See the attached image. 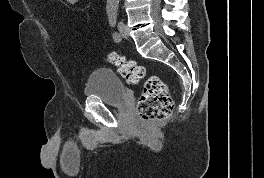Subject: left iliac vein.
I'll use <instances>...</instances> for the list:
<instances>
[{"mask_svg":"<svg viewBox=\"0 0 264 178\" xmlns=\"http://www.w3.org/2000/svg\"><path fill=\"white\" fill-rule=\"evenodd\" d=\"M118 30H119L120 38H127V32L123 21L118 22Z\"/></svg>","mask_w":264,"mask_h":178,"instance_id":"4c4485c4","label":"left iliac vein"}]
</instances>
